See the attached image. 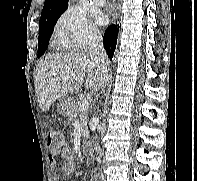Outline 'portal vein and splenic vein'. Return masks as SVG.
<instances>
[{
    "instance_id": "18ae733b",
    "label": "portal vein and splenic vein",
    "mask_w": 197,
    "mask_h": 181,
    "mask_svg": "<svg viewBox=\"0 0 197 181\" xmlns=\"http://www.w3.org/2000/svg\"><path fill=\"white\" fill-rule=\"evenodd\" d=\"M88 107H89V102L86 98H84L80 103L79 110L86 111L88 109Z\"/></svg>"
}]
</instances>
